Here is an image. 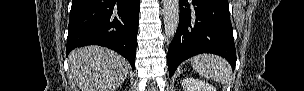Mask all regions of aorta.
Masks as SVG:
<instances>
[{
	"label": "aorta",
	"instance_id": "762f6f07",
	"mask_svg": "<svg viewBox=\"0 0 304 91\" xmlns=\"http://www.w3.org/2000/svg\"><path fill=\"white\" fill-rule=\"evenodd\" d=\"M179 0H163L164 28L167 37H174L179 24Z\"/></svg>",
	"mask_w": 304,
	"mask_h": 91
}]
</instances>
